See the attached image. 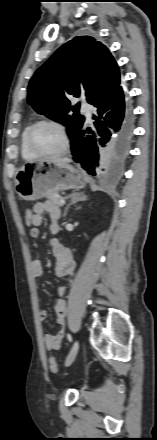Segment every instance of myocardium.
Returning <instances> with one entry per match:
<instances>
[{
    "instance_id": "myocardium-1",
    "label": "myocardium",
    "mask_w": 157,
    "mask_h": 440,
    "mask_svg": "<svg viewBox=\"0 0 157 440\" xmlns=\"http://www.w3.org/2000/svg\"><path fill=\"white\" fill-rule=\"evenodd\" d=\"M41 125H51L59 130V132L62 136V139H63V146L59 151L53 152V153H44V152L39 151L34 146L33 134H34L35 130ZM70 144H71L70 137H69V134H68L65 126L61 122L54 120V119H41V120L36 121L35 123H33L31 125V127L27 133V145H28L29 149L37 156L55 157V156L64 155L65 153H67L69 151Z\"/></svg>"
}]
</instances>
